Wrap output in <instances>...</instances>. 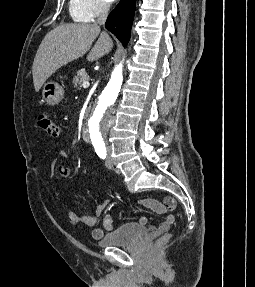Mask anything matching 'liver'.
<instances>
[{"mask_svg":"<svg viewBox=\"0 0 255 287\" xmlns=\"http://www.w3.org/2000/svg\"><path fill=\"white\" fill-rule=\"evenodd\" d=\"M100 32V26L97 24H62L48 32L38 48L32 66L35 92H39L44 82L55 74L56 70L84 56ZM112 48L110 36L102 32L86 60L95 62L109 54Z\"/></svg>","mask_w":255,"mask_h":287,"instance_id":"obj_1","label":"liver"}]
</instances>
